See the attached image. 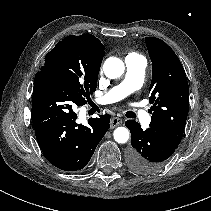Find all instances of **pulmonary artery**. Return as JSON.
<instances>
[{"label":"pulmonary artery","instance_id":"obj_1","mask_svg":"<svg viewBox=\"0 0 211 211\" xmlns=\"http://www.w3.org/2000/svg\"><path fill=\"white\" fill-rule=\"evenodd\" d=\"M126 76L121 84L112 88L104 97L99 99V104H107L123 99L130 93L138 90L144 81V72L146 68V60L137 54H130L125 58ZM138 118L145 122H149V116L144 110L137 112Z\"/></svg>","mask_w":211,"mask_h":211}]
</instances>
